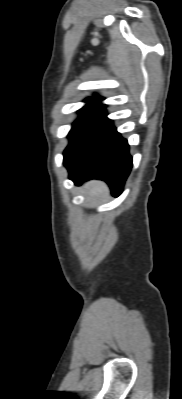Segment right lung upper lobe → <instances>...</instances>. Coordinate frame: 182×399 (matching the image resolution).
<instances>
[{"label": "right lung upper lobe", "instance_id": "right-lung-upper-lobe-1", "mask_svg": "<svg viewBox=\"0 0 182 399\" xmlns=\"http://www.w3.org/2000/svg\"><path fill=\"white\" fill-rule=\"evenodd\" d=\"M89 99L95 100V101H100V100H103L104 98H101L99 96H95V97H90Z\"/></svg>", "mask_w": 182, "mask_h": 399}]
</instances>
